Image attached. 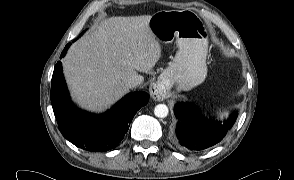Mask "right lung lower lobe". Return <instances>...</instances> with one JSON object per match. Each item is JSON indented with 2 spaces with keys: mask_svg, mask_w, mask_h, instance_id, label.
Instances as JSON below:
<instances>
[{
  "mask_svg": "<svg viewBox=\"0 0 294 180\" xmlns=\"http://www.w3.org/2000/svg\"><path fill=\"white\" fill-rule=\"evenodd\" d=\"M69 46L70 43L65 46L60 58ZM148 101L147 93L135 92L125 96L104 114L81 111L70 101L61 61L54 67L51 82L54 115L63 136L79 148L104 152L116 147L124 138L136 112Z\"/></svg>",
  "mask_w": 294,
  "mask_h": 180,
  "instance_id": "1",
  "label": "right lung lower lobe"
}]
</instances>
